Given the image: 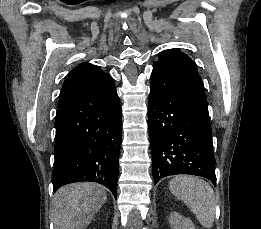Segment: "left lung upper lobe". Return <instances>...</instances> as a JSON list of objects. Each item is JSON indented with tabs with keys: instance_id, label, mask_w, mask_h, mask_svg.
Here are the masks:
<instances>
[{
	"instance_id": "left-lung-upper-lobe-1",
	"label": "left lung upper lobe",
	"mask_w": 261,
	"mask_h": 229,
	"mask_svg": "<svg viewBox=\"0 0 261 229\" xmlns=\"http://www.w3.org/2000/svg\"><path fill=\"white\" fill-rule=\"evenodd\" d=\"M154 64L173 70L198 73L196 64L187 55L177 49L160 52L159 59Z\"/></svg>"
}]
</instances>
